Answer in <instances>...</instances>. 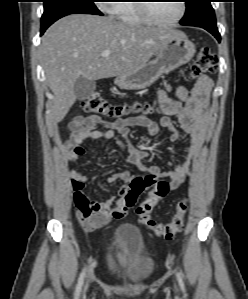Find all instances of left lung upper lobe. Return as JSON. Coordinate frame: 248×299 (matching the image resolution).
<instances>
[{
    "label": "left lung upper lobe",
    "mask_w": 248,
    "mask_h": 299,
    "mask_svg": "<svg viewBox=\"0 0 248 299\" xmlns=\"http://www.w3.org/2000/svg\"><path fill=\"white\" fill-rule=\"evenodd\" d=\"M186 13L181 19V25L188 26H216L215 13L211 0H185Z\"/></svg>",
    "instance_id": "obj_1"
}]
</instances>
